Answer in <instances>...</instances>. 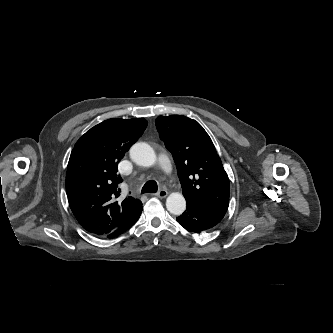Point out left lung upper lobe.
<instances>
[{"label": "left lung upper lobe", "instance_id": "1", "mask_svg": "<svg viewBox=\"0 0 333 333\" xmlns=\"http://www.w3.org/2000/svg\"><path fill=\"white\" fill-rule=\"evenodd\" d=\"M156 128L171 152L186 201L226 213L229 178L211 138L195 120L183 115L159 116Z\"/></svg>", "mask_w": 333, "mask_h": 333}]
</instances>
